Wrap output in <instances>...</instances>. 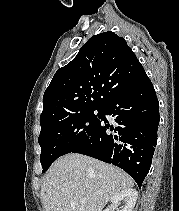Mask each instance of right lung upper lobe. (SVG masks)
Instances as JSON below:
<instances>
[{
	"instance_id": "right-lung-upper-lobe-1",
	"label": "right lung upper lobe",
	"mask_w": 179,
	"mask_h": 211,
	"mask_svg": "<svg viewBox=\"0 0 179 211\" xmlns=\"http://www.w3.org/2000/svg\"><path fill=\"white\" fill-rule=\"evenodd\" d=\"M144 73L122 37L111 31L92 36L70 63L57 70L46 89L41 128L65 115L104 108Z\"/></svg>"
}]
</instances>
